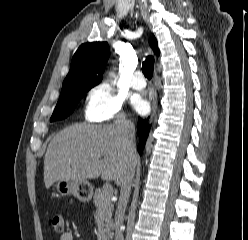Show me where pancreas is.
<instances>
[{"instance_id":"cf45deb5","label":"pancreas","mask_w":248,"mask_h":240,"mask_svg":"<svg viewBox=\"0 0 248 240\" xmlns=\"http://www.w3.org/2000/svg\"><path fill=\"white\" fill-rule=\"evenodd\" d=\"M111 195H106L103 190L96 189L95 194L93 196V203L97 207V209L103 210L105 214V233L108 235V238H112L111 230L114 227L112 220V211L113 205L110 202Z\"/></svg>"}]
</instances>
